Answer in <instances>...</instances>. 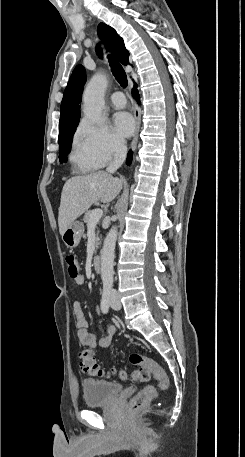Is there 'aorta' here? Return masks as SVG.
<instances>
[{
  "instance_id": "aorta-1",
  "label": "aorta",
  "mask_w": 245,
  "mask_h": 457,
  "mask_svg": "<svg viewBox=\"0 0 245 457\" xmlns=\"http://www.w3.org/2000/svg\"><path fill=\"white\" fill-rule=\"evenodd\" d=\"M106 88V77L103 74L97 73L91 78L84 91L83 112L94 123L102 122V109L104 107ZM117 233V227L113 226L108 232L101 250V279L104 286H111L113 284Z\"/></svg>"
}]
</instances>
